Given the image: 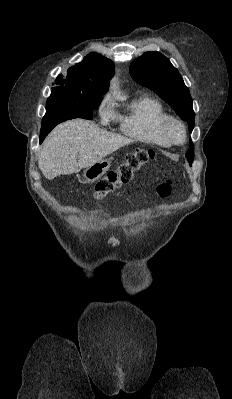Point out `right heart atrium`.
Here are the masks:
<instances>
[{"mask_svg":"<svg viewBox=\"0 0 232 399\" xmlns=\"http://www.w3.org/2000/svg\"><path fill=\"white\" fill-rule=\"evenodd\" d=\"M98 114L102 125H109L116 119V112L114 108L107 102L102 103L98 108Z\"/></svg>","mask_w":232,"mask_h":399,"instance_id":"1","label":"right heart atrium"}]
</instances>
